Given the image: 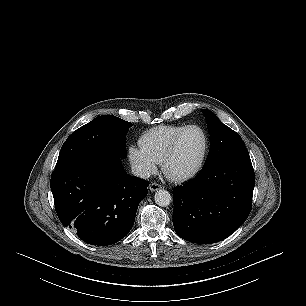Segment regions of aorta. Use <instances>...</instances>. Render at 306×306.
<instances>
[{
    "label": "aorta",
    "mask_w": 306,
    "mask_h": 306,
    "mask_svg": "<svg viewBox=\"0 0 306 306\" xmlns=\"http://www.w3.org/2000/svg\"><path fill=\"white\" fill-rule=\"evenodd\" d=\"M171 195L167 190L160 189L154 195L155 203L161 207L168 206L171 202Z\"/></svg>",
    "instance_id": "762f6f07"
}]
</instances>
